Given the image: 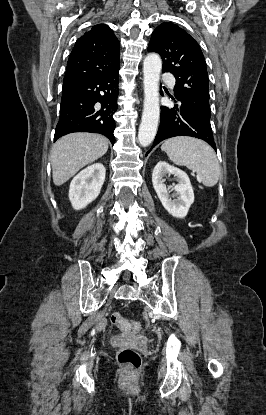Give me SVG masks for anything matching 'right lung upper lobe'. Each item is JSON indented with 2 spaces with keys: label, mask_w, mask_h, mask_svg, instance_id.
Here are the masks:
<instances>
[{
  "label": "right lung upper lobe",
  "mask_w": 266,
  "mask_h": 415,
  "mask_svg": "<svg viewBox=\"0 0 266 415\" xmlns=\"http://www.w3.org/2000/svg\"><path fill=\"white\" fill-rule=\"evenodd\" d=\"M119 46V41L109 26H93L77 40L67 62L63 86L117 70L120 64Z\"/></svg>",
  "instance_id": "right-lung-upper-lobe-1"
}]
</instances>
